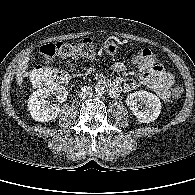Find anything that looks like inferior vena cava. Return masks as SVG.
Returning <instances> with one entry per match:
<instances>
[{"label": "inferior vena cava", "instance_id": "1", "mask_svg": "<svg viewBox=\"0 0 195 195\" xmlns=\"http://www.w3.org/2000/svg\"><path fill=\"white\" fill-rule=\"evenodd\" d=\"M93 94V88L91 86H85L81 89L79 95L82 97V98H87V97H90L92 96Z\"/></svg>", "mask_w": 195, "mask_h": 195}]
</instances>
